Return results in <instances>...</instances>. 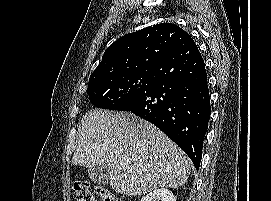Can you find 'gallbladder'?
Masks as SVG:
<instances>
[{
    "instance_id": "obj_1",
    "label": "gallbladder",
    "mask_w": 271,
    "mask_h": 201,
    "mask_svg": "<svg viewBox=\"0 0 271 201\" xmlns=\"http://www.w3.org/2000/svg\"><path fill=\"white\" fill-rule=\"evenodd\" d=\"M111 169L106 163L89 168L88 176L96 184H107L109 182Z\"/></svg>"
}]
</instances>
